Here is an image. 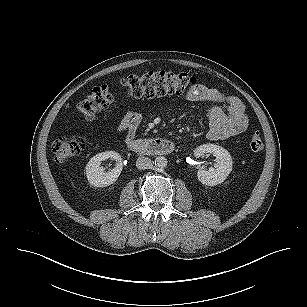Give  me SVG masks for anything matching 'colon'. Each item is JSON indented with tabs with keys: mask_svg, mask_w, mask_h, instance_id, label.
Listing matches in <instances>:
<instances>
[{
	"mask_svg": "<svg viewBox=\"0 0 307 307\" xmlns=\"http://www.w3.org/2000/svg\"><path fill=\"white\" fill-rule=\"evenodd\" d=\"M121 84L126 93L133 97L153 98L189 92L196 86V79L186 73L161 70L126 76L122 79ZM113 100L114 95L109 88L100 86L80 102L78 109L87 121H92L97 112L108 107ZM249 145L253 151H259L263 148V140L259 131L252 132ZM84 146V138L64 135L54 141L52 151L58 162H64L78 154Z\"/></svg>",
	"mask_w": 307,
	"mask_h": 307,
	"instance_id": "5ec220e1",
	"label": "colon"
}]
</instances>
